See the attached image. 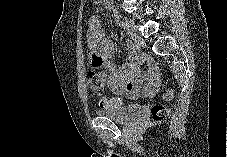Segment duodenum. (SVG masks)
I'll return each mask as SVG.
<instances>
[{
    "label": "duodenum",
    "instance_id": "obj_1",
    "mask_svg": "<svg viewBox=\"0 0 227 157\" xmlns=\"http://www.w3.org/2000/svg\"><path fill=\"white\" fill-rule=\"evenodd\" d=\"M111 12L116 21H119V14L117 9L114 6H111Z\"/></svg>",
    "mask_w": 227,
    "mask_h": 157
}]
</instances>
